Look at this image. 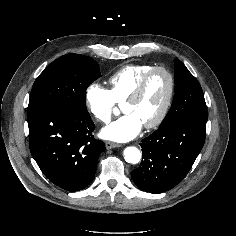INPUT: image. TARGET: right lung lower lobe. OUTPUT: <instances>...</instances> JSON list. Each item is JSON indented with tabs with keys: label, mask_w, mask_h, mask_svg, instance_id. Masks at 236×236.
<instances>
[{
	"label": "right lung lower lobe",
	"mask_w": 236,
	"mask_h": 236,
	"mask_svg": "<svg viewBox=\"0 0 236 236\" xmlns=\"http://www.w3.org/2000/svg\"><path fill=\"white\" fill-rule=\"evenodd\" d=\"M27 119L30 151L43 174L64 190L84 189L106 150L92 135L95 125L89 113L39 107L28 110Z\"/></svg>",
	"instance_id": "right-lung-lower-lobe-1"
}]
</instances>
